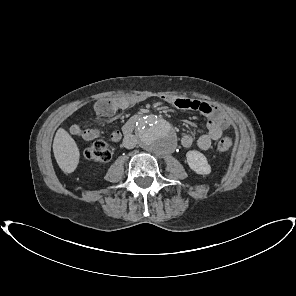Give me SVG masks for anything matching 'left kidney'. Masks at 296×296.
<instances>
[{
  "label": "left kidney",
  "mask_w": 296,
  "mask_h": 296,
  "mask_svg": "<svg viewBox=\"0 0 296 296\" xmlns=\"http://www.w3.org/2000/svg\"><path fill=\"white\" fill-rule=\"evenodd\" d=\"M186 160L189 167L197 174L208 175L211 173V166L204 154L199 151L191 150L186 154Z\"/></svg>",
  "instance_id": "obj_1"
}]
</instances>
